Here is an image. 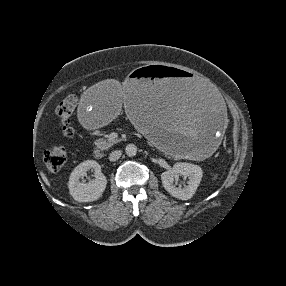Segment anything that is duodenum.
Segmentation results:
<instances>
[{
    "label": "duodenum",
    "mask_w": 286,
    "mask_h": 286,
    "mask_svg": "<svg viewBox=\"0 0 286 286\" xmlns=\"http://www.w3.org/2000/svg\"><path fill=\"white\" fill-rule=\"evenodd\" d=\"M93 155L96 159H102L103 158V152L99 148L94 150Z\"/></svg>",
    "instance_id": "obj_1"
}]
</instances>
